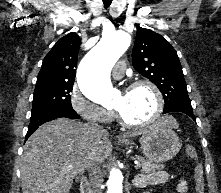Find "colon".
<instances>
[{"instance_id": "colon-1", "label": "colon", "mask_w": 221, "mask_h": 193, "mask_svg": "<svg viewBox=\"0 0 221 193\" xmlns=\"http://www.w3.org/2000/svg\"><path fill=\"white\" fill-rule=\"evenodd\" d=\"M187 154L194 160V182L196 193H204V170L203 165L198 159V154L194 146L189 145L186 148Z\"/></svg>"}]
</instances>
